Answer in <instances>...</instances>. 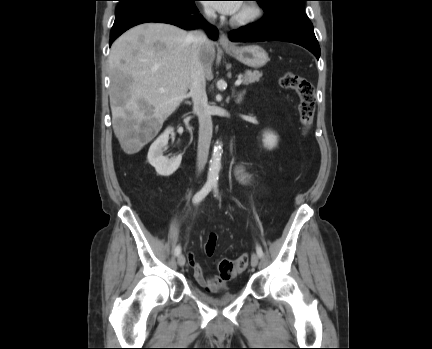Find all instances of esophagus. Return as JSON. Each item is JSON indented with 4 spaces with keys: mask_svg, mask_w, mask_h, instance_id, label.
Returning <instances> with one entry per match:
<instances>
[{
    "mask_svg": "<svg viewBox=\"0 0 432 349\" xmlns=\"http://www.w3.org/2000/svg\"><path fill=\"white\" fill-rule=\"evenodd\" d=\"M219 44L222 47H234V45L229 41L226 33H224L223 31H221L220 36H219Z\"/></svg>",
    "mask_w": 432,
    "mask_h": 349,
    "instance_id": "esophagus-1",
    "label": "esophagus"
}]
</instances>
